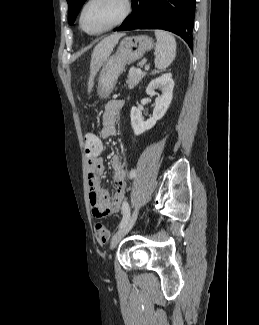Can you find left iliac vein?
Listing matches in <instances>:
<instances>
[{"label":"left iliac vein","instance_id":"left-iliac-vein-1","mask_svg":"<svg viewBox=\"0 0 259 325\" xmlns=\"http://www.w3.org/2000/svg\"><path fill=\"white\" fill-rule=\"evenodd\" d=\"M138 212L139 207L137 206L129 220L113 235L110 244L111 250L114 249L116 245L121 241V239L132 229L136 222Z\"/></svg>","mask_w":259,"mask_h":325}]
</instances>
